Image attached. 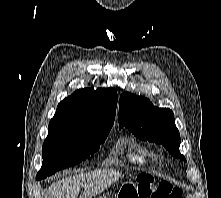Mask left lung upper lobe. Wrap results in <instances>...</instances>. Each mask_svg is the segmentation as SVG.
<instances>
[{"mask_svg":"<svg viewBox=\"0 0 221 198\" xmlns=\"http://www.w3.org/2000/svg\"><path fill=\"white\" fill-rule=\"evenodd\" d=\"M119 129L128 128L138 138L163 144L174 157L180 154V134L175 126L174 114L168 108H157L149 99L125 92L120 96Z\"/></svg>","mask_w":221,"mask_h":198,"instance_id":"left-lung-upper-lobe-1","label":"left lung upper lobe"}]
</instances>
